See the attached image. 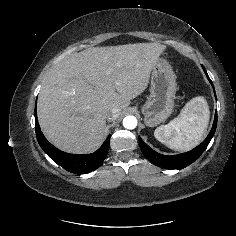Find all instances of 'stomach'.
Listing matches in <instances>:
<instances>
[{"mask_svg": "<svg viewBox=\"0 0 236 236\" xmlns=\"http://www.w3.org/2000/svg\"><path fill=\"white\" fill-rule=\"evenodd\" d=\"M176 90V75L171 65L159 58L152 69L150 95L142 107L146 126L155 127L171 115Z\"/></svg>", "mask_w": 236, "mask_h": 236, "instance_id": "stomach-1", "label": "stomach"}]
</instances>
